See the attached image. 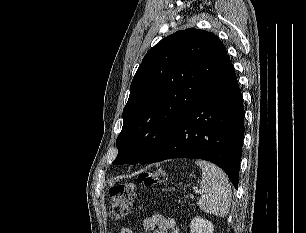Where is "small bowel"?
I'll return each instance as SVG.
<instances>
[{"label":"small bowel","mask_w":306,"mask_h":233,"mask_svg":"<svg viewBox=\"0 0 306 233\" xmlns=\"http://www.w3.org/2000/svg\"><path fill=\"white\" fill-rule=\"evenodd\" d=\"M142 227L145 231H152L153 233H180L178 223L174 218L160 214L145 218L142 222ZM120 233H133V228L124 226L121 228Z\"/></svg>","instance_id":"c3829d8e"}]
</instances>
